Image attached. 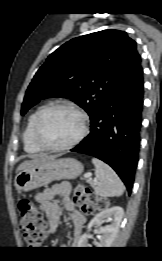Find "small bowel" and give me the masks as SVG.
I'll list each match as a JSON object with an SVG mask.
<instances>
[{"label":"small bowel","mask_w":162,"mask_h":261,"mask_svg":"<svg viewBox=\"0 0 162 261\" xmlns=\"http://www.w3.org/2000/svg\"><path fill=\"white\" fill-rule=\"evenodd\" d=\"M70 193V183L60 182L44 189L35 196V200L41 205L42 210L47 216L48 231L50 234L55 232L59 224V199L62 200L65 209L72 214L75 235L78 236L82 230L86 218L75 209L70 198Z\"/></svg>","instance_id":"obj_1"}]
</instances>
